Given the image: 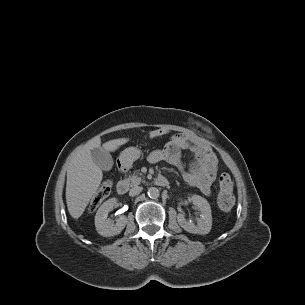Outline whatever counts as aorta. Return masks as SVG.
<instances>
[{
    "instance_id": "1",
    "label": "aorta",
    "mask_w": 305,
    "mask_h": 305,
    "mask_svg": "<svg viewBox=\"0 0 305 305\" xmlns=\"http://www.w3.org/2000/svg\"><path fill=\"white\" fill-rule=\"evenodd\" d=\"M147 194L151 199H156L159 197L160 192L156 187H150Z\"/></svg>"
}]
</instances>
